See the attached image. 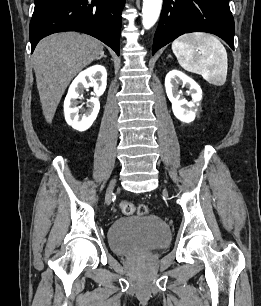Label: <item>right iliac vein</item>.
<instances>
[{"label": "right iliac vein", "instance_id": "right-iliac-vein-1", "mask_svg": "<svg viewBox=\"0 0 261 306\" xmlns=\"http://www.w3.org/2000/svg\"><path fill=\"white\" fill-rule=\"evenodd\" d=\"M114 185H115V180H113L110 185H109V188H108V191H107V198H110L111 197V194H112V191H113V188H114Z\"/></svg>", "mask_w": 261, "mask_h": 306}]
</instances>
